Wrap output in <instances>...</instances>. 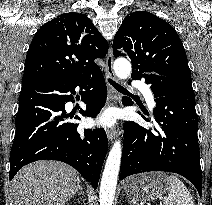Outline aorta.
Returning a JSON list of instances; mask_svg holds the SVG:
<instances>
[{
	"label": "aorta",
	"instance_id": "obj_1",
	"mask_svg": "<svg viewBox=\"0 0 212 205\" xmlns=\"http://www.w3.org/2000/svg\"><path fill=\"white\" fill-rule=\"evenodd\" d=\"M131 64L127 59L118 58L114 62V71L118 78L127 79L131 74ZM122 156V144L115 141L108 154L102 174L99 202L100 205H112L120 170Z\"/></svg>",
	"mask_w": 212,
	"mask_h": 205
}]
</instances>
